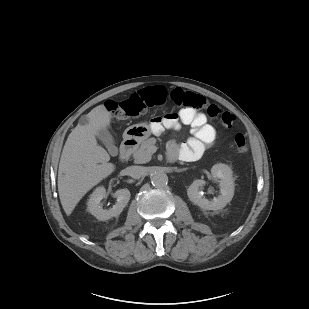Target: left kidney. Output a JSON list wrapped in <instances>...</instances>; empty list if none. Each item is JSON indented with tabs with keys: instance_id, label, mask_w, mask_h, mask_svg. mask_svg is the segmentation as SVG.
<instances>
[{
	"instance_id": "obj_1",
	"label": "left kidney",
	"mask_w": 309,
	"mask_h": 309,
	"mask_svg": "<svg viewBox=\"0 0 309 309\" xmlns=\"http://www.w3.org/2000/svg\"><path fill=\"white\" fill-rule=\"evenodd\" d=\"M212 177L218 180L220 196L213 200L203 197L202 188L206 184L204 180H195L187 189V195L191 202L204 210H219L224 208L234 196L233 172L228 165L218 163L211 168Z\"/></svg>"
}]
</instances>
